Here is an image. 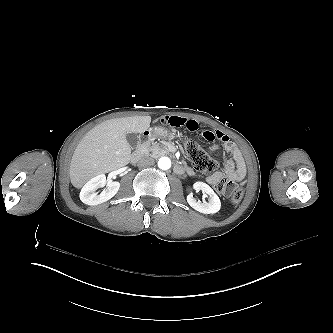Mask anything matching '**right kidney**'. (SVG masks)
<instances>
[{"label": "right kidney", "instance_id": "right-kidney-1", "mask_svg": "<svg viewBox=\"0 0 333 333\" xmlns=\"http://www.w3.org/2000/svg\"><path fill=\"white\" fill-rule=\"evenodd\" d=\"M108 185V188L105 192H102L100 195L96 193L97 189L105 187ZM120 188V182L107 180L105 175H99L91 179L81 190L80 199L84 204L87 205H99L104 202H107L113 198Z\"/></svg>", "mask_w": 333, "mask_h": 333}]
</instances>
